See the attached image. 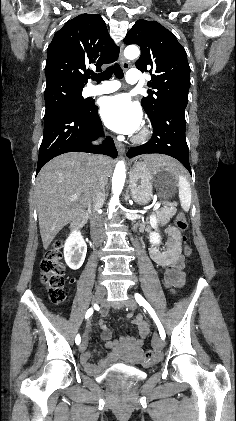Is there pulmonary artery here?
Here are the masks:
<instances>
[{
  "mask_svg": "<svg viewBox=\"0 0 236 421\" xmlns=\"http://www.w3.org/2000/svg\"><path fill=\"white\" fill-rule=\"evenodd\" d=\"M126 80L129 84H136L142 86L139 83L142 81V76L138 69H129L127 71ZM121 88V84L118 81L105 82L98 86H90L85 92L84 96H96L101 94H108L115 92Z\"/></svg>",
  "mask_w": 236,
  "mask_h": 421,
  "instance_id": "1",
  "label": "pulmonary artery"
}]
</instances>
